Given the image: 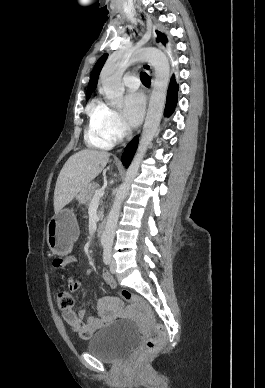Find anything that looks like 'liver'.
Returning <instances> with one entry per match:
<instances>
[{
    "instance_id": "6515ba94",
    "label": "liver",
    "mask_w": 265,
    "mask_h": 388,
    "mask_svg": "<svg viewBox=\"0 0 265 388\" xmlns=\"http://www.w3.org/2000/svg\"><path fill=\"white\" fill-rule=\"evenodd\" d=\"M108 152L99 150H81L70 156L65 162L56 182L54 192V212L60 210L74 200L78 192L91 184L92 180L101 174L109 160Z\"/></svg>"
}]
</instances>
